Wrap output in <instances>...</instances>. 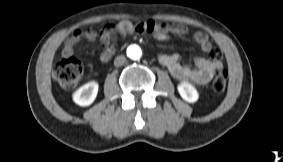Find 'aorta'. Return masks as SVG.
<instances>
[{
  "mask_svg": "<svg viewBox=\"0 0 283 162\" xmlns=\"http://www.w3.org/2000/svg\"><path fill=\"white\" fill-rule=\"evenodd\" d=\"M141 54H142L141 49L136 45H132L127 49V55L132 60L139 59L141 57Z\"/></svg>",
  "mask_w": 283,
  "mask_h": 162,
  "instance_id": "1",
  "label": "aorta"
}]
</instances>
